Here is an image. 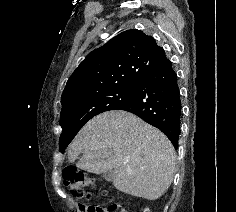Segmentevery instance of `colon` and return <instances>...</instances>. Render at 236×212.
I'll return each instance as SVG.
<instances>
[{
  "label": "colon",
  "mask_w": 236,
  "mask_h": 212,
  "mask_svg": "<svg viewBox=\"0 0 236 212\" xmlns=\"http://www.w3.org/2000/svg\"><path fill=\"white\" fill-rule=\"evenodd\" d=\"M63 181L66 187L69 188L70 192L78 197L89 199L91 197L89 188L95 187L94 180L87 174L78 171L74 167H68L63 172ZM120 208V204L112 201L108 207L102 206H87L83 212H116Z\"/></svg>",
  "instance_id": "colon-1"
}]
</instances>
